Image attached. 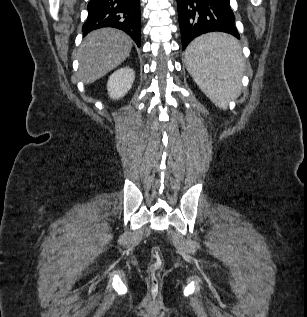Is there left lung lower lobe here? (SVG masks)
<instances>
[{"instance_id": "0a47b994", "label": "left lung lower lobe", "mask_w": 307, "mask_h": 317, "mask_svg": "<svg viewBox=\"0 0 307 317\" xmlns=\"http://www.w3.org/2000/svg\"><path fill=\"white\" fill-rule=\"evenodd\" d=\"M177 9L183 50L194 38L208 32L220 31L240 38L230 0H177ZM236 50L233 45L212 58L227 63Z\"/></svg>"}]
</instances>
